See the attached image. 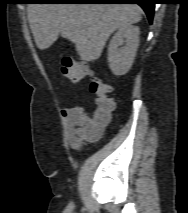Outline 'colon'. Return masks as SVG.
<instances>
[{
    "label": "colon",
    "instance_id": "5ec220e1",
    "mask_svg": "<svg viewBox=\"0 0 188 213\" xmlns=\"http://www.w3.org/2000/svg\"><path fill=\"white\" fill-rule=\"evenodd\" d=\"M61 72L73 83L79 82L85 75H92L90 89L95 95V101L98 106L94 120L98 124H107L116 108L114 100L110 97V85L101 78L94 76L83 58L74 59L72 57H64L61 61ZM76 132L75 129H72L69 135H74Z\"/></svg>",
    "mask_w": 188,
    "mask_h": 213
}]
</instances>
